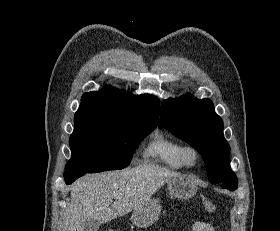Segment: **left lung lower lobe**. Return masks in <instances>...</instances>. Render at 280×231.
Returning a JSON list of instances; mask_svg holds the SVG:
<instances>
[{"label":"left lung lower lobe","instance_id":"left-lung-lower-lobe-1","mask_svg":"<svg viewBox=\"0 0 280 231\" xmlns=\"http://www.w3.org/2000/svg\"><path fill=\"white\" fill-rule=\"evenodd\" d=\"M238 180L236 179L235 181H229V182H225V183H222L220 184L222 188H226L230 191H234L237 189L238 187Z\"/></svg>","mask_w":280,"mask_h":231}]
</instances>
